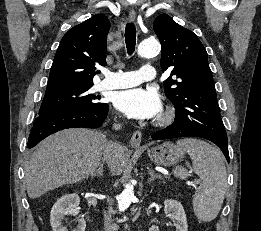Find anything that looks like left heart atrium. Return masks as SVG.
<instances>
[{
	"mask_svg": "<svg viewBox=\"0 0 261 231\" xmlns=\"http://www.w3.org/2000/svg\"><path fill=\"white\" fill-rule=\"evenodd\" d=\"M115 106L126 115L138 119H153L162 110L160 96L153 88L137 87L121 91L115 98Z\"/></svg>",
	"mask_w": 261,
	"mask_h": 231,
	"instance_id": "1",
	"label": "left heart atrium"
}]
</instances>
